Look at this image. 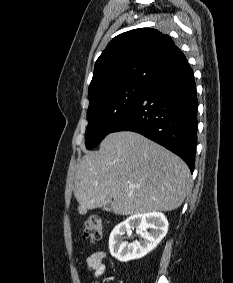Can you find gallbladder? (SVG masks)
Listing matches in <instances>:
<instances>
[{
	"label": "gallbladder",
	"instance_id": "gallbladder-1",
	"mask_svg": "<svg viewBox=\"0 0 233 283\" xmlns=\"http://www.w3.org/2000/svg\"><path fill=\"white\" fill-rule=\"evenodd\" d=\"M103 208H104L105 211H110L111 210V204L108 203Z\"/></svg>",
	"mask_w": 233,
	"mask_h": 283
}]
</instances>
